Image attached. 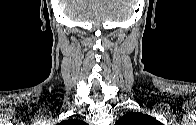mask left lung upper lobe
<instances>
[{
	"instance_id": "5c2ea615",
	"label": "left lung upper lobe",
	"mask_w": 196,
	"mask_h": 125,
	"mask_svg": "<svg viewBox=\"0 0 196 125\" xmlns=\"http://www.w3.org/2000/svg\"><path fill=\"white\" fill-rule=\"evenodd\" d=\"M116 125H159V121L146 114L130 112L121 117Z\"/></svg>"
}]
</instances>
